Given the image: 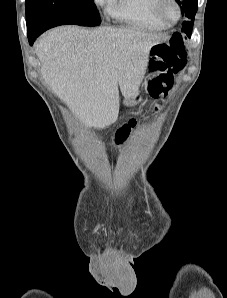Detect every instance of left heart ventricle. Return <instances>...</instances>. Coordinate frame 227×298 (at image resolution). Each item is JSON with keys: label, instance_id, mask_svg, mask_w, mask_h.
Here are the masks:
<instances>
[{"label": "left heart ventricle", "instance_id": "1", "mask_svg": "<svg viewBox=\"0 0 227 298\" xmlns=\"http://www.w3.org/2000/svg\"><path fill=\"white\" fill-rule=\"evenodd\" d=\"M163 11L168 18L175 19L176 8L172 3H170V2L165 3L164 7H163Z\"/></svg>", "mask_w": 227, "mask_h": 298}]
</instances>
